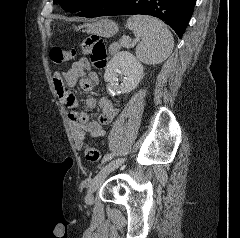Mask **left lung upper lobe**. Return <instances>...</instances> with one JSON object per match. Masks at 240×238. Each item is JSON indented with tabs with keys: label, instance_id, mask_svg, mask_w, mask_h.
Segmentation results:
<instances>
[{
	"label": "left lung upper lobe",
	"instance_id": "1",
	"mask_svg": "<svg viewBox=\"0 0 240 238\" xmlns=\"http://www.w3.org/2000/svg\"><path fill=\"white\" fill-rule=\"evenodd\" d=\"M92 0H53L59 2L64 10L70 12H81Z\"/></svg>",
	"mask_w": 240,
	"mask_h": 238
}]
</instances>
